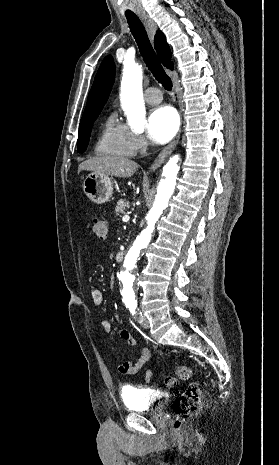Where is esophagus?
Instances as JSON below:
<instances>
[{"label":"esophagus","instance_id":"34e87169","mask_svg":"<svg viewBox=\"0 0 279 465\" xmlns=\"http://www.w3.org/2000/svg\"><path fill=\"white\" fill-rule=\"evenodd\" d=\"M140 18L142 22L144 23L146 30L148 32V35L151 40H153L154 35L157 31V25L156 23L146 14H140ZM175 88V84H174ZM180 137V133L177 135L176 139L173 140L169 145H167L157 156V158L154 160L153 164L150 166L149 171L153 172L155 171L164 161V159L171 153V151L174 149L176 146L178 140Z\"/></svg>","mask_w":279,"mask_h":465}]
</instances>
